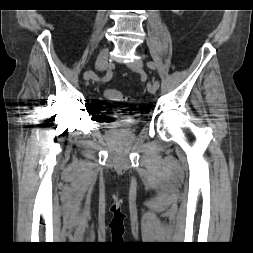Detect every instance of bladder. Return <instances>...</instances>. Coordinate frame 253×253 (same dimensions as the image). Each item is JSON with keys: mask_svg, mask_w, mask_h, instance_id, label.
Masks as SVG:
<instances>
[{"mask_svg": "<svg viewBox=\"0 0 253 253\" xmlns=\"http://www.w3.org/2000/svg\"><path fill=\"white\" fill-rule=\"evenodd\" d=\"M140 124V119L133 116H126L122 121L107 124L108 128L132 130Z\"/></svg>", "mask_w": 253, "mask_h": 253, "instance_id": "obj_1", "label": "bladder"}]
</instances>
